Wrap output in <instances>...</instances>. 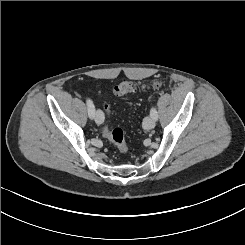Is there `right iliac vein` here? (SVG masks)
<instances>
[{
    "instance_id": "1",
    "label": "right iliac vein",
    "mask_w": 245,
    "mask_h": 245,
    "mask_svg": "<svg viewBox=\"0 0 245 245\" xmlns=\"http://www.w3.org/2000/svg\"><path fill=\"white\" fill-rule=\"evenodd\" d=\"M94 117L97 124H102L104 122V114L100 109L95 112Z\"/></svg>"
}]
</instances>
